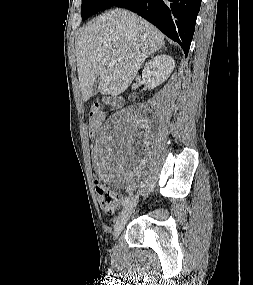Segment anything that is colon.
I'll return each mask as SVG.
<instances>
[{
    "label": "colon",
    "mask_w": 253,
    "mask_h": 285,
    "mask_svg": "<svg viewBox=\"0 0 253 285\" xmlns=\"http://www.w3.org/2000/svg\"><path fill=\"white\" fill-rule=\"evenodd\" d=\"M102 122V114L99 107L93 106L89 115V137H90V146H89V168L91 172H98L97 167V154L96 148L98 145V127ZM95 189L99 199V204L103 212L107 214H112L117 209L120 202V195L117 191L106 187L99 181H95Z\"/></svg>",
    "instance_id": "5ec220e1"
}]
</instances>
